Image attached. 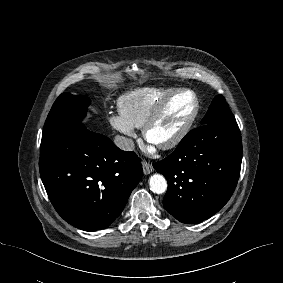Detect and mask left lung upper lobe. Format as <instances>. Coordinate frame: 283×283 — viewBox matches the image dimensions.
Masks as SVG:
<instances>
[{"instance_id": "1", "label": "left lung upper lobe", "mask_w": 283, "mask_h": 283, "mask_svg": "<svg viewBox=\"0 0 283 283\" xmlns=\"http://www.w3.org/2000/svg\"><path fill=\"white\" fill-rule=\"evenodd\" d=\"M224 121H236L234 115L228 107L225 98L222 95H217L205 117L202 119L201 124H209L214 122H224Z\"/></svg>"}]
</instances>
